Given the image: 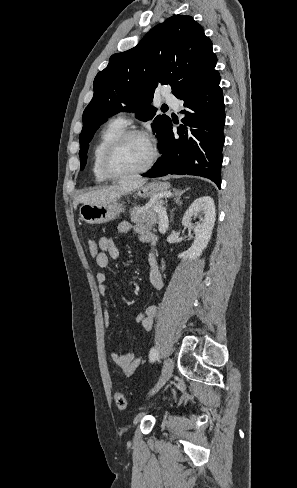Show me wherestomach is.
Here are the masks:
<instances>
[{
    "mask_svg": "<svg viewBox=\"0 0 297 488\" xmlns=\"http://www.w3.org/2000/svg\"><path fill=\"white\" fill-rule=\"evenodd\" d=\"M170 188L168 182H150L137 189L136 194L142 198L158 200ZM124 208L117 200L106 204H83L79 214L88 224H103L117 218Z\"/></svg>",
    "mask_w": 297,
    "mask_h": 488,
    "instance_id": "stomach-1",
    "label": "stomach"
}]
</instances>
